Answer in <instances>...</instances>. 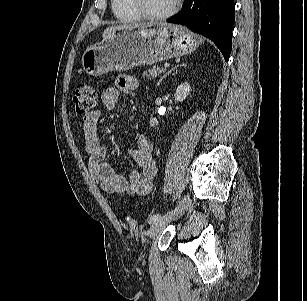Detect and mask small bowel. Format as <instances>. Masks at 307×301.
I'll list each match as a JSON object with an SVG mask.
<instances>
[{
  "label": "small bowel",
  "mask_w": 307,
  "mask_h": 301,
  "mask_svg": "<svg viewBox=\"0 0 307 301\" xmlns=\"http://www.w3.org/2000/svg\"><path fill=\"white\" fill-rule=\"evenodd\" d=\"M138 87L139 82L135 77L122 75L118 77L115 87H108L103 91L102 103L107 109H114L118 103L120 91L130 92ZM100 116V110H94L83 118L85 151L88 169L93 180L110 194H148L157 172L152 142L145 135L137 138L136 147L130 150V156L140 169L133 170L128 178H125L116 173L113 167L106 162L107 148L100 142L98 136Z\"/></svg>",
  "instance_id": "1"
}]
</instances>
